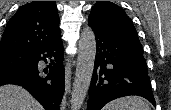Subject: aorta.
I'll return each mask as SVG.
<instances>
[{
    "instance_id": "762f6f07",
    "label": "aorta",
    "mask_w": 171,
    "mask_h": 110,
    "mask_svg": "<svg viewBox=\"0 0 171 110\" xmlns=\"http://www.w3.org/2000/svg\"><path fill=\"white\" fill-rule=\"evenodd\" d=\"M96 57V39L91 28L81 33L78 44V57L71 94V110H80L87 95Z\"/></svg>"
}]
</instances>
